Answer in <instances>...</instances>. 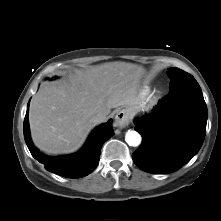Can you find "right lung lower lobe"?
Listing matches in <instances>:
<instances>
[{"label":"right lung lower lobe","instance_id":"98d812e1","mask_svg":"<svg viewBox=\"0 0 221 221\" xmlns=\"http://www.w3.org/2000/svg\"><path fill=\"white\" fill-rule=\"evenodd\" d=\"M29 103L24 119V138L32 156L43 163L48 171L63 177L80 178L90 174L99 162L101 146L114 135L112 120L95 128L79 152L67 156L49 157L42 154L31 141L28 119Z\"/></svg>","mask_w":221,"mask_h":221}]
</instances>
